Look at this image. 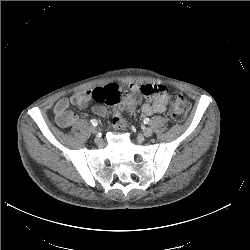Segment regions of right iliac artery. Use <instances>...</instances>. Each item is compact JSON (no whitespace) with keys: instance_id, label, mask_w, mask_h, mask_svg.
Returning <instances> with one entry per match:
<instances>
[{"instance_id":"82829eb1","label":"right iliac artery","mask_w":250,"mask_h":250,"mask_svg":"<svg viewBox=\"0 0 250 250\" xmlns=\"http://www.w3.org/2000/svg\"><path fill=\"white\" fill-rule=\"evenodd\" d=\"M90 122L92 123V125L97 126L98 125V121L96 119H91Z\"/></svg>"}]
</instances>
